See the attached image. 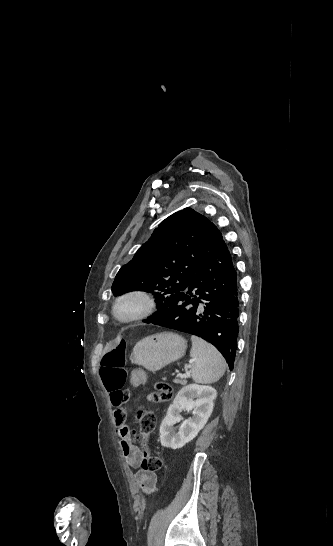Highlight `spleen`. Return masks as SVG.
I'll return each instance as SVG.
<instances>
[{
	"label": "spleen",
	"instance_id": "3e777b00",
	"mask_svg": "<svg viewBox=\"0 0 333 546\" xmlns=\"http://www.w3.org/2000/svg\"><path fill=\"white\" fill-rule=\"evenodd\" d=\"M191 376L194 382L211 384L225 373L226 362L218 350L197 336H191Z\"/></svg>",
	"mask_w": 333,
	"mask_h": 546
}]
</instances>
